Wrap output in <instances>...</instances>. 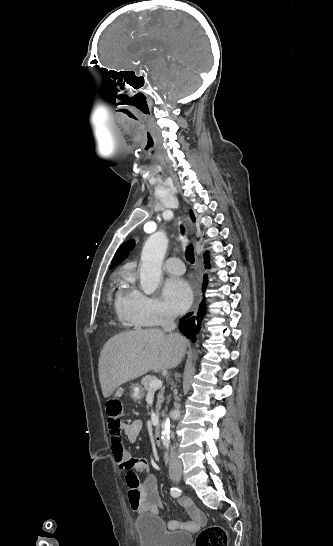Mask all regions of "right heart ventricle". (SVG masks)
<instances>
[{
	"label": "right heart ventricle",
	"mask_w": 333,
	"mask_h": 546,
	"mask_svg": "<svg viewBox=\"0 0 333 546\" xmlns=\"http://www.w3.org/2000/svg\"><path fill=\"white\" fill-rule=\"evenodd\" d=\"M132 290L133 288L130 286L129 279L126 278L122 282V285L117 291L114 299V307L119 320L130 327L138 325V323H136L133 319H131V317H129L126 309L127 301Z\"/></svg>",
	"instance_id": "obj_1"
}]
</instances>
